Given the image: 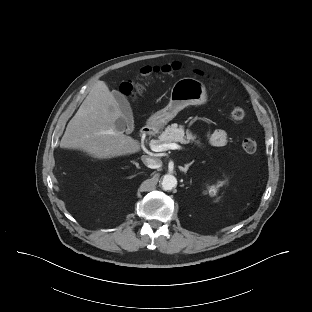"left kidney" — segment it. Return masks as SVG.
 Listing matches in <instances>:
<instances>
[{
	"instance_id": "1",
	"label": "left kidney",
	"mask_w": 312,
	"mask_h": 312,
	"mask_svg": "<svg viewBox=\"0 0 312 312\" xmlns=\"http://www.w3.org/2000/svg\"><path fill=\"white\" fill-rule=\"evenodd\" d=\"M221 184H219L218 186H220ZM216 192H217V187H215V186H210V188H209V194L211 195V196H215L216 195Z\"/></svg>"
}]
</instances>
